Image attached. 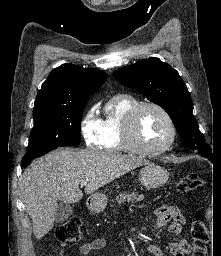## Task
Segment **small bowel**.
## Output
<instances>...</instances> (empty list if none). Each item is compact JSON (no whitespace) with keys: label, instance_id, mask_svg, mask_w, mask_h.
<instances>
[{"label":"small bowel","instance_id":"obj_1","mask_svg":"<svg viewBox=\"0 0 221 256\" xmlns=\"http://www.w3.org/2000/svg\"><path fill=\"white\" fill-rule=\"evenodd\" d=\"M155 221L153 228L157 229L163 227L170 223L169 232L174 235H179L182 231V224L184 223V217L180 210L172 205H164L157 208L154 212ZM107 241L105 238H95L92 239L79 247L80 255H87L94 251L101 250L105 248ZM170 251L173 256H186L191 247L187 240L180 239L178 241H172L169 244ZM148 252L152 256H162L161 249L154 244L148 246Z\"/></svg>","mask_w":221,"mask_h":256}]
</instances>
